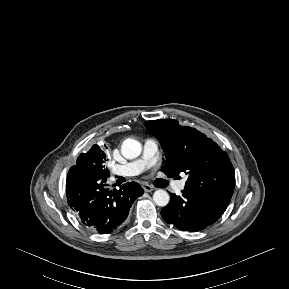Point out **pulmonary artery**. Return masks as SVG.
I'll use <instances>...</instances> for the list:
<instances>
[{"label": "pulmonary artery", "mask_w": 289, "mask_h": 289, "mask_svg": "<svg viewBox=\"0 0 289 289\" xmlns=\"http://www.w3.org/2000/svg\"><path fill=\"white\" fill-rule=\"evenodd\" d=\"M158 152V141L152 138L147 139L143 145L142 155L138 159L126 164L112 166V173L118 176L138 175L156 162ZM184 187V182L180 181L175 184L174 189L179 192Z\"/></svg>", "instance_id": "1"}]
</instances>
